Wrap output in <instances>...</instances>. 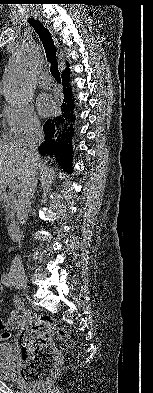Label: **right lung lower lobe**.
<instances>
[{"mask_svg":"<svg viewBox=\"0 0 153 393\" xmlns=\"http://www.w3.org/2000/svg\"><path fill=\"white\" fill-rule=\"evenodd\" d=\"M62 84L64 86V100L61 105L62 115L47 120L44 124L43 131L45 134V141L38 147L39 152L44 154H56V159L60 165L65 169L71 170V154L72 149L70 144L71 138L74 134L73 122L75 116L70 113L74 107L72 100V93L69 88V69L62 72ZM70 127L66 129L67 125ZM59 156V159H58ZM72 172V170H71Z\"/></svg>","mask_w":153,"mask_h":393,"instance_id":"1","label":"right lung lower lobe"}]
</instances>
